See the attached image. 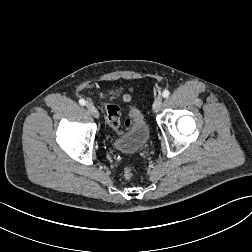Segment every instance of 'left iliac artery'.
I'll return each instance as SVG.
<instances>
[{
  "mask_svg": "<svg viewBox=\"0 0 252 252\" xmlns=\"http://www.w3.org/2000/svg\"><path fill=\"white\" fill-rule=\"evenodd\" d=\"M169 95H170V92L168 90H164L163 93H162V96L164 98H167Z\"/></svg>",
  "mask_w": 252,
  "mask_h": 252,
  "instance_id": "obj_1",
  "label": "left iliac artery"
}]
</instances>
